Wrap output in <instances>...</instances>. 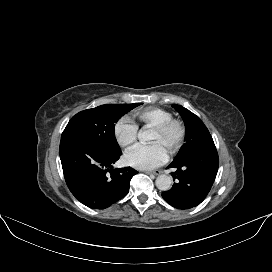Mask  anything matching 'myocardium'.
I'll return each mask as SVG.
<instances>
[{"label":"myocardium","instance_id":"1","mask_svg":"<svg viewBox=\"0 0 272 272\" xmlns=\"http://www.w3.org/2000/svg\"><path fill=\"white\" fill-rule=\"evenodd\" d=\"M153 130L161 135H167L171 130H175V136L173 139L168 141L167 150L174 152L178 150L183 144L186 137V127L184 123L175 118H170L159 125L153 127Z\"/></svg>","mask_w":272,"mask_h":272}]
</instances>
